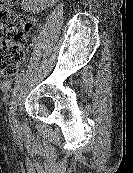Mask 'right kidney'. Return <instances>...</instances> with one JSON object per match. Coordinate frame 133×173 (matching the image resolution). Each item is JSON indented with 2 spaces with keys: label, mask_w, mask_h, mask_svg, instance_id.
I'll use <instances>...</instances> for the list:
<instances>
[{
  "label": "right kidney",
  "mask_w": 133,
  "mask_h": 173,
  "mask_svg": "<svg viewBox=\"0 0 133 173\" xmlns=\"http://www.w3.org/2000/svg\"><path fill=\"white\" fill-rule=\"evenodd\" d=\"M49 2H55V0H22V8L25 11H37L40 6H45Z\"/></svg>",
  "instance_id": "1"
}]
</instances>
